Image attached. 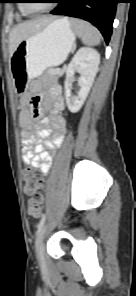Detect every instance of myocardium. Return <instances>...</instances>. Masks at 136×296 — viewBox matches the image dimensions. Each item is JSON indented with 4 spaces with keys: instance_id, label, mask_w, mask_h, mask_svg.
Segmentation results:
<instances>
[{
    "instance_id": "1",
    "label": "myocardium",
    "mask_w": 136,
    "mask_h": 296,
    "mask_svg": "<svg viewBox=\"0 0 136 296\" xmlns=\"http://www.w3.org/2000/svg\"><path fill=\"white\" fill-rule=\"evenodd\" d=\"M24 6H25L26 10L31 13H39V12L45 11L49 8L46 6L41 7V8L34 7L31 3H28L27 0H25Z\"/></svg>"
}]
</instances>
